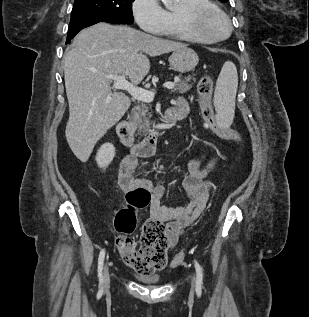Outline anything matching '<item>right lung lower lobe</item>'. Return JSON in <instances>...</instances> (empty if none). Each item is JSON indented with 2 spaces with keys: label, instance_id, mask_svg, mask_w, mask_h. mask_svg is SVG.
Instances as JSON below:
<instances>
[{
  "label": "right lung lower lobe",
  "instance_id": "1",
  "mask_svg": "<svg viewBox=\"0 0 309 317\" xmlns=\"http://www.w3.org/2000/svg\"><path fill=\"white\" fill-rule=\"evenodd\" d=\"M98 22L120 24V22L114 19L105 18V17H83V18H77V19L71 20L69 24L66 43H69L71 39L83 28L94 25Z\"/></svg>",
  "mask_w": 309,
  "mask_h": 317
}]
</instances>
